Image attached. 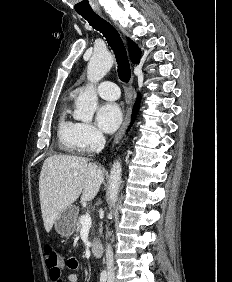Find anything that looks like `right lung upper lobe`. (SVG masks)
Instances as JSON below:
<instances>
[{
	"instance_id": "right-lung-upper-lobe-1",
	"label": "right lung upper lobe",
	"mask_w": 232,
	"mask_h": 282,
	"mask_svg": "<svg viewBox=\"0 0 232 282\" xmlns=\"http://www.w3.org/2000/svg\"><path fill=\"white\" fill-rule=\"evenodd\" d=\"M128 40V49H129V55L131 58V61L133 63H138L139 62V57H140V51L138 46L129 38H127Z\"/></svg>"
}]
</instances>
